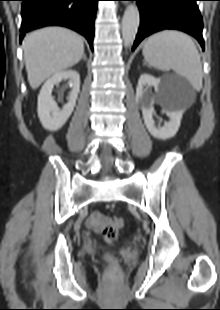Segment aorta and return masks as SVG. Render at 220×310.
I'll return each instance as SVG.
<instances>
[{
  "instance_id": "obj_1",
  "label": "aorta",
  "mask_w": 220,
  "mask_h": 310,
  "mask_svg": "<svg viewBox=\"0 0 220 310\" xmlns=\"http://www.w3.org/2000/svg\"><path fill=\"white\" fill-rule=\"evenodd\" d=\"M140 15L136 5L129 4L122 18V38L126 47H129L137 34Z\"/></svg>"
}]
</instances>
